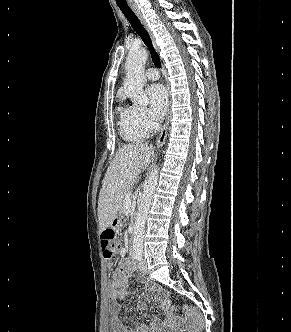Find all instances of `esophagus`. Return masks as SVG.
Returning a JSON list of instances; mask_svg holds the SVG:
<instances>
[{
  "label": "esophagus",
  "mask_w": 291,
  "mask_h": 332,
  "mask_svg": "<svg viewBox=\"0 0 291 332\" xmlns=\"http://www.w3.org/2000/svg\"><path fill=\"white\" fill-rule=\"evenodd\" d=\"M129 5H130L131 9L134 11V13L137 15V17L139 18L142 25L145 27V29L149 33V35H150V37L153 41L154 47L158 51V46L156 45L155 38H154L152 32L150 31V29L147 25V22L144 19L142 13L140 12V10L133 3H130ZM168 90H169V87H168ZM170 105H171V100L169 99V107H168L166 120H165L163 128H162V130H161V132H160V134H159V136L156 140V143H155L157 147H160V146L163 145V143L166 139V136H167L168 126H169V119H170V116H171V107H170Z\"/></svg>",
  "instance_id": "obj_1"
}]
</instances>
